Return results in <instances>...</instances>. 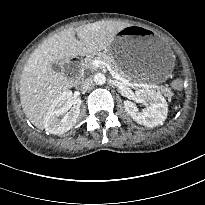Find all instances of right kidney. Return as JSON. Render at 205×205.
<instances>
[{
  "label": "right kidney",
  "mask_w": 205,
  "mask_h": 205,
  "mask_svg": "<svg viewBox=\"0 0 205 205\" xmlns=\"http://www.w3.org/2000/svg\"><path fill=\"white\" fill-rule=\"evenodd\" d=\"M72 98L71 91H64L55 98L44 121L47 133L63 134L76 124L80 108L72 106ZM61 116H63L62 119H60Z\"/></svg>",
  "instance_id": "ca27d5eb"
}]
</instances>
